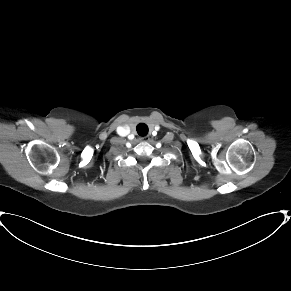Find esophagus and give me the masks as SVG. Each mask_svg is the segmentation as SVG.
Masks as SVG:
<instances>
[{"instance_id":"1","label":"esophagus","mask_w":291,"mask_h":291,"mask_svg":"<svg viewBox=\"0 0 291 291\" xmlns=\"http://www.w3.org/2000/svg\"><path fill=\"white\" fill-rule=\"evenodd\" d=\"M140 140L149 141V137L148 136L141 137Z\"/></svg>"}]
</instances>
